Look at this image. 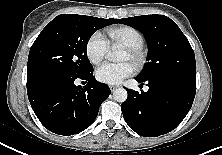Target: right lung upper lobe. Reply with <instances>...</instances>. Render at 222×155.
<instances>
[{
  "label": "right lung upper lobe",
  "instance_id": "obj_1",
  "mask_svg": "<svg viewBox=\"0 0 222 155\" xmlns=\"http://www.w3.org/2000/svg\"><path fill=\"white\" fill-rule=\"evenodd\" d=\"M35 92H37V91H33V92L28 93V94H33V93H35Z\"/></svg>",
  "mask_w": 222,
  "mask_h": 155
}]
</instances>
